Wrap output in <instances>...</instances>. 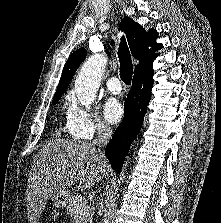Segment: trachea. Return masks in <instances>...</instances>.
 Listing matches in <instances>:
<instances>
[{
	"label": "trachea",
	"instance_id": "trachea-1",
	"mask_svg": "<svg viewBox=\"0 0 221 223\" xmlns=\"http://www.w3.org/2000/svg\"><path fill=\"white\" fill-rule=\"evenodd\" d=\"M118 57L120 62V78L126 85H130L133 74V64L129 48L124 37L121 38Z\"/></svg>",
	"mask_w": 221,
	"mask_h": 223
}]
</instances>
